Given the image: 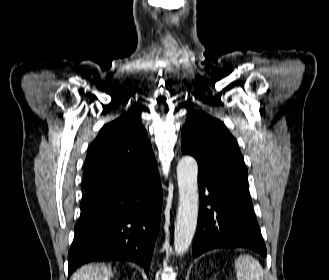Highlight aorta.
Wrapping results in <instances>:
<instances>
[{"label":"aorta","instance_id":"1","mask_svg":"<svg viewBox=\"0 0 329 280\" xmlns=\"http://www.w3.org/2000/svg\"><path fill=\"white\" fill-rule=\"evenodd\" d=\"M198 165L193 157L185 156L177 165L179 206L174 232V249L183 255L195 235L198 218Z\"/></svg>","mask_w":329,"mask_h":280}]
</instances>
